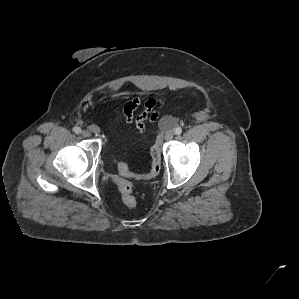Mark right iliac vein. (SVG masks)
I'll use <instances>...</instances> for the list:
<instances>
[{
  "mask_svg": "<svg viewBox=\"0 0 299 299\" xmlns=\"http://www.w3.org/2000/svg\"><path fill=\"white\" fill-rule=\"evenodd\" d=\"M81 134H82L83 137H90V136H91V133H90V131H88V130H83V131L81 132Z\"/></svg>",
  "mask_w": 299,
  "mask_h": 299,
  "instance_id": "1",
  "label": "right iliac vein"
}]
</instances>
